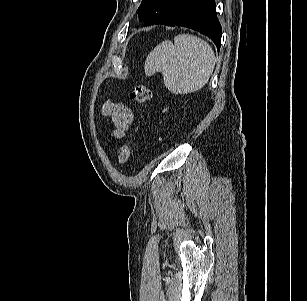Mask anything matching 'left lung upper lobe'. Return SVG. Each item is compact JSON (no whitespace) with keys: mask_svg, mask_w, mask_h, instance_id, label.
Masks as SVG:
<instances>
[{"mask_svg":"<svg viewBox=\"0 0 307 301\" xmlns=\"http://www.w3.org/2000/svg\"><path fill=\"white\" fill-rule=\"evenodd\" d=\"M179 0H142L138 8L140 21L144 26L156 23L165 16Z\"/></svg>","mask_w":307,"mask_h":301,"instance_id":"5c2ea615","label":"left lung upper lobe"}]
</instances>
